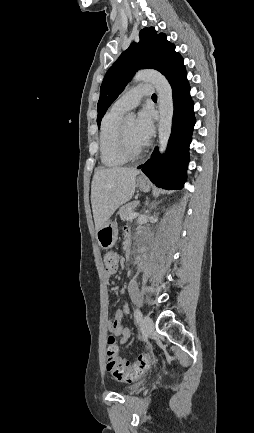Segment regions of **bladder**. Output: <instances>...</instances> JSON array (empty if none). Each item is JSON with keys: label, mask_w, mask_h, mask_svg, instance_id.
I'll use <instances>...</instances> for the list:
<instances>
[{"label": "bladder", "mask_w": 254, "mask_h": 433, "mask_svg": "<svg viewBox=\"0 0 254 433\" xmlns=\"http://www.w3.org/2000/svg\"><path fill=\"white\" fill-rule=\"evenodd\" d=\"M139 385H140L139 382L134 383L132 385H129V386L125 387L124 391L127 392V393H132V392H134V391H136L138 389Z\"/></svg>", "instance_id": "bladder-1"}]
</instances>
